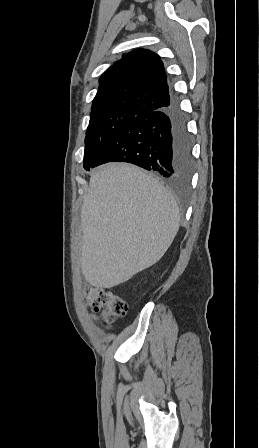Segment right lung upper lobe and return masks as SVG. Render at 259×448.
Here are the masks:
<instances>
[{
  "mask_svg": "<svg viewBox=\"0 0 259 448\" xmlns=\"http://www.w3.org/2000/svg\"><path fill=\"white\" fill-rule=\"evenodd\" d=\"M91 113L156 111L171 101L165 68L160 57L147 49H135L100 78Z\"/></svg>",
  "mask_w": 259,
  "mask_h": 448,
  "instance_id": "1",
  "label": "right lung upper lobe"
}]
</instances>
